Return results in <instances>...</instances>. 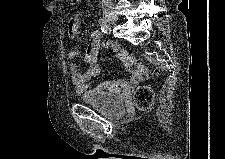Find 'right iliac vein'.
I'll return each instance as SVG.
<instances>
[{
	"mask_svg": "<svg viewBox=\"0 0 225 159\" xmlns=\"http://www.w3.org/2000/svg\"><path fill=\"white\" fill-rule=\"evenodd\" d=\"M105 18L110 24H115L118 22V16L114 10H106L105 11Z\"/></svg>",
	"mask_w": 225,
	"mask_h": 159,
	"instance_id": "63e3f726",
	"label": "right iliac vein"
}]
</instances>
